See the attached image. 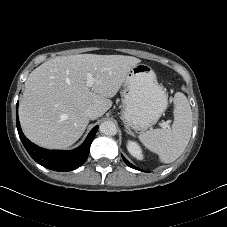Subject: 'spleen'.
Masks as SVG:
<instances>
[{"label": "spleen", "instance_id": "1", "mask_svg": "<svg viewBox=\"0 0 227 227\" xmlns=\"http://www.w3.org/2000/svg\"><path fill=\"white\" fill-rule=\"evenodd\" d=\"M174 122L168 129H151L139 135L141 143L159 155L163 163L175 161L189 143L192 131V111L186 96H174Z\"/></svg>", "mask_w": 227, "mask_h": 227}]
</instances>
